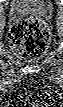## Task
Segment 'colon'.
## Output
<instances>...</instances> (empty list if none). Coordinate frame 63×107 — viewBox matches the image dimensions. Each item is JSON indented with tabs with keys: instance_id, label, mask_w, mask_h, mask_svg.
Masks as SVG:
<instances>
[{
	"instance_id": "colon-1",
	"label": "colon",
	"mask_w": 63,
	"mask_h": 107,
	"mask_svg": "<svg viewBox=\"0 0 63 107\" xmlns=\"http://www.w3.org/2000/svg\"><path fill=\"white\" fill-rule=\"evenodd\" d=\"M50 33L44 22L26 17L16 22L9 33V41L16 54L24 58H38L48 46Z\"/></svg>"
}]
</instances>
